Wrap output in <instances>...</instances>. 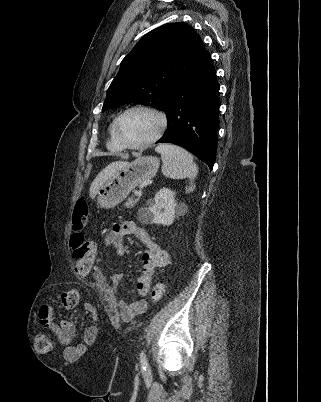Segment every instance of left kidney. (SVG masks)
Here are the masks:
<instances>
[{"label":"left kidney","mask_w":321,"mask_h":402,"mask_svg":"<svg viewBox=\"0 0 321 402\" xmlns=\"http://www.w3.org/2000/svg\"><path fill=\"white\" fill-rule=\"evenodd\" d=\"M148 207L138 211L139 220L147 224L171 225L176 214L175 192L168 188L160 189L152 200L147 202Z\"/></svg>","instance_id":"left-kidney-1"}]
</instances>
